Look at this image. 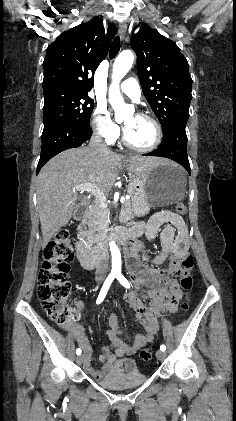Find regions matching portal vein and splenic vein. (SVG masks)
<instances>
[{
    "label": "portal vein and splenic vein",
    "instance_id": "1",
    "mask_svg": "<svg viewBox=\"0 0 236 421\" xmlns=\"http://www.w3.org/2000/svg\"><path fill=\"white\" fill-rule=\"evenodd\" d=\"M74 190H88V192H92V194H95L99 204H103V206H106L107 204V198L104 196L102 190H99L95 184H92V182H84V184H75L73 186ZM125 196H121L120 202H124Z\"/></svg>",
    "mask_w": 236,
    "mask_h": 421
}]
</instances>
